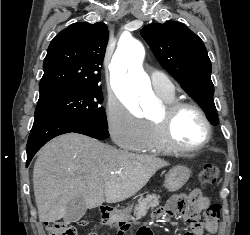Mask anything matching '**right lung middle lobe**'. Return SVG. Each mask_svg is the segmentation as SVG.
I'll list each match as a JSON object with an SVG mask.
<instances>
[{
  "label": "right lung middle lobe",
  "mask_w": 250,
  "mask_h": 235,
  "mask_svg": "<svg viewBox=\"0 0 250 235\" xmlns=\"http://www.w3.org/2000/svg\"><path fill=\"white\" fill-rule=\"evenodd\" d=\"M99 86L62 91L40 97L35 118L40 116H62L108 128Z\"/></svg>",
  "instance_id": "obj_1"
}]
</instances>
